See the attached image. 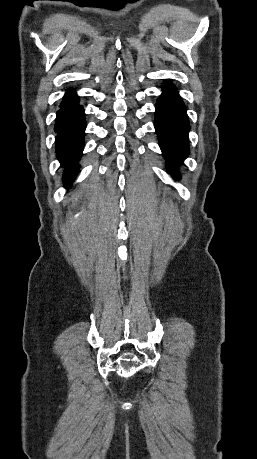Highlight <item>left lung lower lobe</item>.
Returning <instances> with one entry per match:
<instances>
[{"instance_id":"left-lung-lower-lobe-1","label":"left lung lower lobe","mask_w":257,"mask_h":459,"mask_svg":"<svg viewBox=\"0 0 257 459\" xmlns=\"http://www.w3.org/2000/svg\"><path fill=\"white\" fill-rule=\"evenodd\" d=\"M155 129L170 172L174 173L176 167L188 155L190 126L185 105L171 83L164 84L163 93L158 98Z\"/></svg>"}]
</instances>
